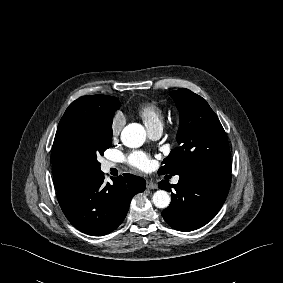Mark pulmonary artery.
<instances>
[{"label": "pulmonary artery", "instance_id": "e3ab8cb5", "mask_svg": "<svg viewBox=\"0 0 283 283\" xmlns=\"http://www.w3.org/2000/svg\"><path fill=\"white\" fill-rule=\"evenodd\" d=\"M162 131H163V128L161 126L154 127V128H151V129L148 130L149 136L152 139H158L161 136ZM112 167H114V164H112L110 162H105L104 165H103V169L105 171L109 170ZM178 181H179V177H175L173 179V183H178Z\"/></svg>", "mask_w": 283, "mask_h": 283}]
</instances>
